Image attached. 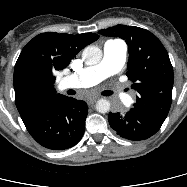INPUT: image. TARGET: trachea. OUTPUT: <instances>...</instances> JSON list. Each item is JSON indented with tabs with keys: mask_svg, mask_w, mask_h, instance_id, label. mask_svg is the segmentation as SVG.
I'll return each instance as SVG.
<instances>
[{
	"mask_svg": "<svg viewBox=\"0 0 187 187\" xmlns=\"http://www.w3.org/2000/svg\"><path fill=\"white\" fill-rule=\"evenodd\" d=\"M112 94H113L112 91H105V92H103V95H105V96H110Z\"/></svg>",
	"mask_w": 187,
	"mask_h": 187,
	"instance_id": "trachea-1",
	"label": "trachea"
}]
</instances>
